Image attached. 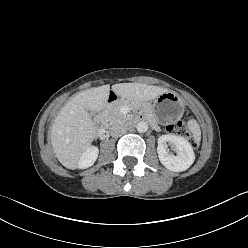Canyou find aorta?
I'll return each mask as SVG.
<instances>
[{
  "mask_svg": "<svg viewBox=\"0 0 248 248\" xmlns=\"http://www.w3.org/2000/svg\"><path fill=\"white\" fill-rule=\"evenodd\" d=\"M136 129L139 133H145L148 130L147 123L141 121L136 125Z\"/></svg>",
  "mask_w": 248,
  "mask_h": 248,
  "instance_id": "aorta-1",
  "label": "aorta"
}]
</instances>
